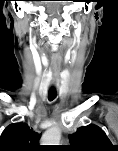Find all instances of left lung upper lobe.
Masks as SVG:
<instances>
[{
    "mask_svg": "<svg viewBox=\"0 0 118 151\" xmlns=\"http://www.w3.org/2000/svg\"><path fill=\"white\" fill-rule=\"evenodd\" d=\"M69 139L73 151H106L113 147L105 132L93 124L78 128Z\"/></svg>",
    "mask_w": 118,
    "mask_h": 151,
    "instance_id": "left-lung-upper-lobe-1",
    "label": "left lung upper lobe"
}]
</instances>
